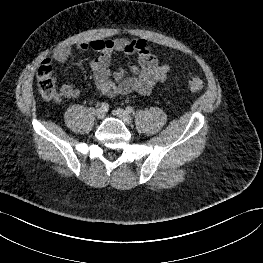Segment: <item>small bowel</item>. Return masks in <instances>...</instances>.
<instances>
[{"mask_svg":"<svg viewBox=\"0 0 263 263\" xmlns=\"http://www.w3.org/2000/svg\"><path fill=\"white\" fill-rule=\"evenodd\" d=\"M76 49L81 52L93 50L99 53L98 57L90 61V68L94 83L104 97L126 95L132 92L148 95L169 75L170 66L165 62L161 63L152 47L142 38L96 39L79 43ZM72 52V46L64 45L54 51L52 60L63 63L70 58ZM119 53L135 55L136 61L131 63L128 70L120 68L117 71H111V62ZM79 94L80 89L77 86L64 84L55 95L54 101L61 103L64 99L76 98Z\"/></svg>","mask_w":263,"mask_h":263,"instance_id":"c3829d8e","label":"small bowel"}]
</instances>
